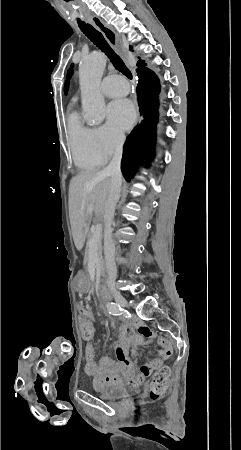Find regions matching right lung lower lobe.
I'll list each match as a JSON object with an SVG mask.
<instances>
[{
	"label": "right lung lower lobe",
	"instance_id": "obj_1",
	"mask_svg": "<svg viewBox=\"0 0 241 450\" xmlns=\"http://www.w3.org/2000/svg\"><path fill=\"white\" fill-rule=\"evenodd\" d=\"M137 64V95L141 115L144 119L133 129L123 148L121 170L126 181L134 176L140 162L149 154L155 144L156 124L159 118L160 83L153 71ZM149 161L146 162L148 165Z\"/></svg>",
	"mask_w": 241,
	"mask_h": 450
}]
</instances>
